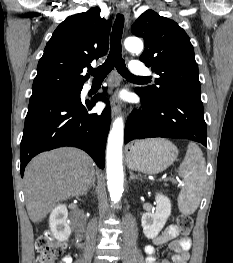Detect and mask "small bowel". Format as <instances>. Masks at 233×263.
<instances>
[{
  "instance_id": "small-bowel-1",
  "label": "small bowel",
  "mask_w": 233,
  "mask_h": 263,
  "mask_svg": "<svg viewBox=\"0 0 233 263\" xmlns=\"http://www.w3.org/2000/svg\"><path fill=\"white\" fill-rule=\"evenodd\" d=\"M169 244V249L173 252L171 259H157L156 246ZM192 246L191 238L183 234L177 225H169L161 235L154 238L152 244L144 247L146 254L145 263H188L190 249ZM72 257L65 255L59 263H72Z\"/></svg>"
}]
</instances>
